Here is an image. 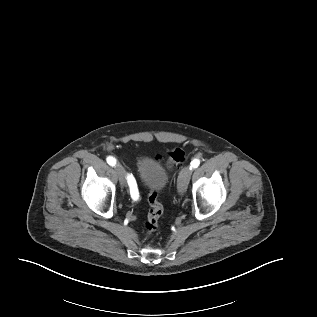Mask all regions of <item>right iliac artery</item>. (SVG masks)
Wrapping results in <instances>:
<instances>
[{
	"instance_id": "right-iliac-artery-1",
	"label": "right iliac artery",
	"mask_w": 317,
	"mask_h": 317,
	"mask_svg": "<svg viewBox=\"0 0 317 317\" xmlns=\"http://www.w3.org/2000/svg\"><path fill=\"white\" fill-rule=\"evenodd\" d=\"M106 160H107V163L111 166H114L116 164V160L112 156H108ZM128 185L130 188L131 197L134 200H137L138 196H139L138 190L136 189L135 181H134V178L132 176H128Z\"/></svg>"
}]
</instances>
